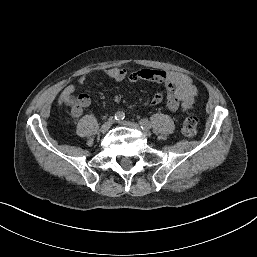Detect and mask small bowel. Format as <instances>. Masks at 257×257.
<instances>
[{
  "label": "small bowel",
  "mask_w": 257,
  "mask_h": 257,
  "mask_svg": "<svg viewBox=\"0 0 257 257\" xmlns=\"http://www.w3.org/2000/svg\"><path fill=\"white\" fill-rule=\"evenodd\" d=\"M99 74L117 82L144 80L163 84L166 88V105L172 112H186L194 105L198 96L197 87L192 79L181 72L146 67L133 72H128L125 68H105L100 70ZM94 77L95 74L92 73L81 75L77 79V84L84 86ZM74 92L75 86L69 84L63 88L60 99L66 104L72 103L71 113L74 117H79L82 115L84 108L90 104L91 98L86 93L74 97ZM162 101L163 94L156 93L151 100V105H158Z\"/></svg>",
  "instance_id": "small-bowel-1"
}]
</instances>
